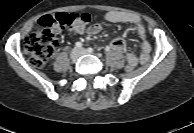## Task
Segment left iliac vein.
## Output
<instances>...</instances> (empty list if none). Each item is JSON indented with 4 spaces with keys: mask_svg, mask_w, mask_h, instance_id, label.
Returning a JSON list of instances; mask_svg holds the SVG:
<instances>
[{
    "mask_svg": "<svg viewBox=\"0 0 194 133\" xmlns=\"http://www.w3.org/2000/svg\"><path fill=\"white\" fill-rule=\"evenodd\" d=\"M79 52H80L81 55H85V54L90 53V52H89L87 49H85V48L79 49Z\"/></svg>",
    "mask_w": 194,
    "mask_h": 133,
    "instance_id": "obj_1",
    "label": "left iliac vein"
}]
</instances>
